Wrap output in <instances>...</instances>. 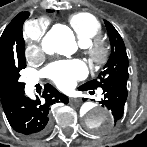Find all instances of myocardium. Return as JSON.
<instances>
[{"label":"myocardium","instance_id":"1","mask_svg":"<svg viewBox=\"0 0 147 147\" xmlns=\"http://www.w3.org/2000/svg\"><path fill=\"white\" fill-rule=\"evenodd\" d=\"M90 59L95 63H102L108 56L107 45L99 38H94L85 45Z\"/></svg>","mask_w":147,"mask_h":147}]
</instances>
